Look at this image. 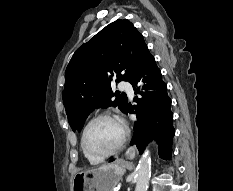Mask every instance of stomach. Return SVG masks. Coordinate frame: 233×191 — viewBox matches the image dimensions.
<instances>
[{"label": "stomach", "instance_id": "1", "mask_svg": "<svg viewBox=\"0 0 233 191\" xmlns=\"http://www.w3.org/2000/svg\"><path fill=\"white\" fill-rule=\"evenodd\" d=\"M125 172L121 164H105L75 174L71 191H113Z\"/></svg>", "mask_w": 233, "mask_h": 191}]
</instances>
